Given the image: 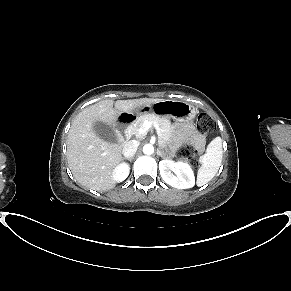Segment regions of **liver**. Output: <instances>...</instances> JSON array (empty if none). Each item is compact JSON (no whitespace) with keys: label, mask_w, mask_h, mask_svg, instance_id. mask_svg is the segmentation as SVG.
<instances>
[{"label":"liver","mask_w":291,"mask_h":291,"mask_svg":"<svg viewBox=\"0 0 291 291\" xmlns=\"http://www.w3.org/2000/svg\"><path fill=\"white\" fill-rule=\"evenodd\" d=\"M162 99L140 98L103 100L80 112L74 119L67 138L68 166L77 182L96 190L108 191L115 187L112 172L122 161L121 146L101 139L93 129L96 122L116 126L123 113H133L136 109Z\"/></svg>","instance_id":"obj_1"}]
</instances>
